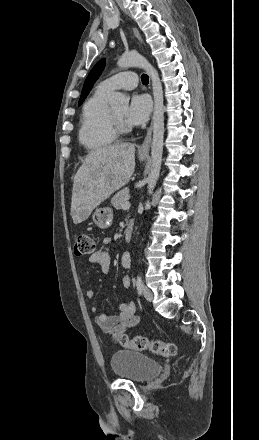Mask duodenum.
<instances>
[{
  "instance_id": "obj_1",
  "label": "duodenum",
  "mask_w": 259,
  "mask_h": 440,
  "mask_svg": "<svg viewBox=\"0 0 259 440\" xmlns=\"http://www.w3.org/2000/svg\"><path fill=\"white\" fill-rule=\"evenodd\" d=\"M133 229H134V223H133L132 221H129V222L126 224L125 234H124V236H125V240H126L127 242L131 241V239H132V236H133Z\"/></svg>"
}]
</instances>
